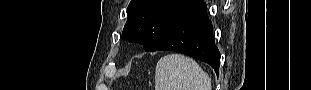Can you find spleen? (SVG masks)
<instances>
[{"instance_id": "3e777b00", "label": "spleen", "mask_w": 311, "mask_h": 90, "mask_svg": "<svg viewBox=\"0 0 311 90\" xmlns=\"http://www.w3.org/2000/svg\"><path fill=\"white\" fill-rule=\"evenodd\" d=\"M155 90H211V81L193 59L170 54L157 63Z\"/></svg>"}]
</instances>
